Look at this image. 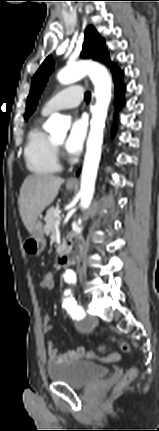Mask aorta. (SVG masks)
<instances>
[{"label": "aorta", "mask_w": 159, "mask_h": 431, "mask_svg": "<svg viewBox=\"0 0 159 431\" xmlns=\"http://www.w3.org/2000/svg\"><path fill=\"white\" fill-rule=\"evenodd\" d=\"M86 75H89L95 86L96 104L92 108L91 129L81 176L80 206L83 210L89 208L94 194L97 168L101 157L103 128L111 100V77L104 66L88 61L68 65L57 75L59 82L64 85L74 83ZM45 128L53 135H65L68 123L63 116L53 114ZM75 278L73 270H67L64 274L65 281L69 282Z\"/></svg>", "instance_id": "obj_1"}]
</instances>
